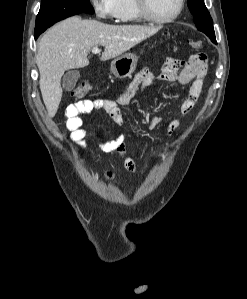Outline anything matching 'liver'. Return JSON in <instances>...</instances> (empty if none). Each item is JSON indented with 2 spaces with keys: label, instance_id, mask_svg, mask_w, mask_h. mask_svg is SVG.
Returning a JSON list of instances; mask_svg holds the SVG:
<instances>
[{
  "label": "liver",
  "instance_id": "obj_1",
  "mask_svg": "<svg viewBox=\"0 0 247 299\" xmlns=\"http://www.w3.org/2000/svg\"><path fill=\"white\" fill-rule=\"evenodd\" d=\"M160 29V26L108 25L76 16L49 29L39 42L36 56L39 86L48 115L54 117L59 107L64 72L88 66L91 48L103 46L100 59L106 61L122 55Z\"/></svg>",
  "mask_w": 247,
  "mask_h": 299
}]
</instances>
